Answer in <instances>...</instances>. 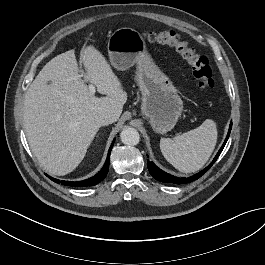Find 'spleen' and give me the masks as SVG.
I'll use <instances>...</instances> for the list:
<instances>
[{
  "label": "spleen",
  "instance_id": "obj_1",
  "mask_svg": "<svg viewBox=\"0 0 265 265\" xmlns=\"http://www.w3.org/2000/svg\"><path fill=\"white\" fill-rule=\"evenodd\" d=\"M217 143V128L213 120L171 138H161L160 149L165 159L184 173L196 172L210 158Z\"/></svg>",
  "mask_w": 265,
  "mask_h": 265
}]
</instances>
